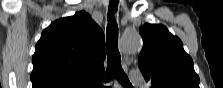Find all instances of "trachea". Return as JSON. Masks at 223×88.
<instances>
[{"label":"trachea","instance_id":"obj_1","mask_svg":"<svg viewBox=\"0 0 223 88\" xmlns=\"http://www.w3.org/2000/svg\"><path fill=\"white\" fill-rule=\"evenodd\" d=\"M119 0H111L108 9V24H107V70L104 75L103 81L105 83L110 82L116 78L124 87H131V83L128 80L125 72L121 67V56L118 50V27L114 14L118 10Z\"/></svg>","mask_w":223,"mask_h":88}]
</instances>
